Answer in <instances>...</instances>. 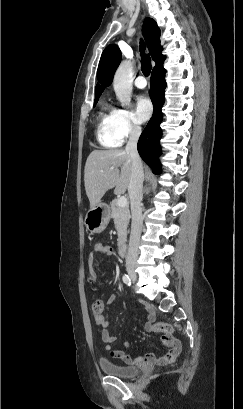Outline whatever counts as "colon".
<instances>
[{
  "label": "colon",
  "mask_w": 243,
  "mask_h": 409,
  "mask_svg": "<svg viewBox=\"0 0 243 409\" xmlns=\"http://www.w3.org/2000/svg\"><path fill=\"white\" fill-rule=\"evenodd\" d=\"M103 309V301L101 299H96L92 303V311L94 314L100 313ZM153 330L157 332L170 333L172 332V327L169 324L158 322L153 326Z\"/></svg>",
  "instance_id": "colon-1"
}]
</instances>
